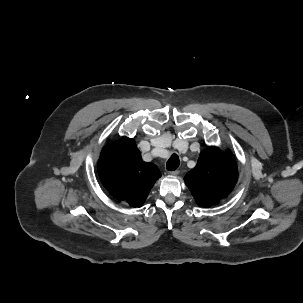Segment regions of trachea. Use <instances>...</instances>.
<instances>
[{"label": "trachea", "instance_id": "obj_1", "mask_svg": "<svg viewBox=\"0 0 303 303\" xmlns=\"http://www.w3.org/2000/svg\"><path fill=\"white\" fill-rule=\"evenodd\" d=\"M180 164V160L177 154H172L166 164V168L168 171H174L178 168Z\"/></svg>", "mask_w": 303, "mask_h": 303}]
</instances>
